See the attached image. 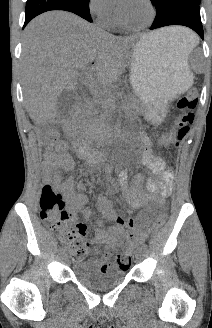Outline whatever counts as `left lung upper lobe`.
<instances>
[{"mask_svg": "<svg viewBox=\"0 0 212 328\" xmlns=\"http://www.w3.org/2000/svg\"><path fill=\"white\" fill-rule=\"evenodd\" d=\"M194 1H196L197 3H200V0H194Z\"/></svg>", "mask_w": 212, "mask_h": 328, "instance_id": "left-lung-upper-lobe-1", "label": "left lung upper lobe"}]
</instances>
